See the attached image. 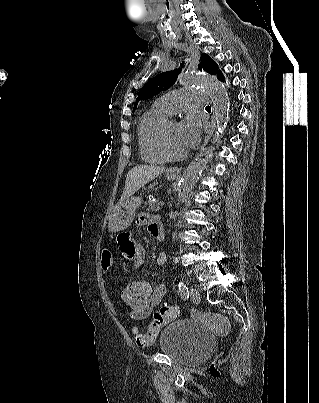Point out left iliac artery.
Masks as SVG:
<instances>
[{"mask_svg":"<svg viewBox=\"0 0 319 403\" xmlns=\"http://www.w3.org/2000/svg\"><path fill=\"white\" fill-rule=\"evenodd\" d=\"M180 295L183 299H188L189 292L188 288L183 281H180L178 284Z\"/></svg>","mask_w":319,"mask_h":403,"instance_id":"44dca946","label":"left iliac artery"}]
</instances>
